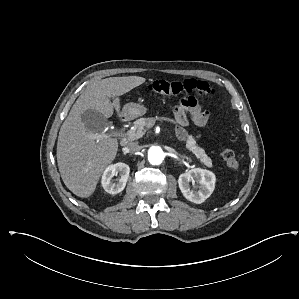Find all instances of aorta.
Segmentation results:
<instances>
[{"instance_id":"obj_1","label":"aorta","mask_w":299,"mask_h":299,"mask_svg":"<svg viewBox=\"0 0 299 299\" xmlns=\"http://www.w3.org/2000/svg\"><path fill=\"white\" fill-rule=\"evenodd\" d=\"M164 151L159 146H151L148 149V161L152 165H159L164 160Z\"/></svg>"}]
</instances>
